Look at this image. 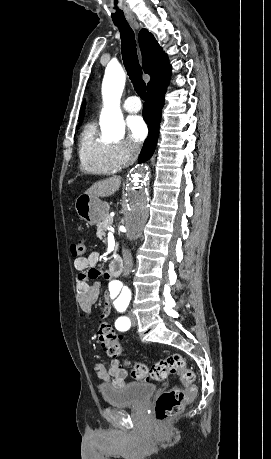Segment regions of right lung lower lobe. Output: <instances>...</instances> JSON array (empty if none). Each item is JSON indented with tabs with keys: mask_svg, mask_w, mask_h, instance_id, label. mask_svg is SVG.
Returning a JSON list of instances; mask_svg holds the SVG:
<instances>
[{
	"mask_svg": "<svg viewBox=\"0 0 271 459\" xmlns=\"http://www.w3.org/2000/svg\"><path fill=\"white\" fill-rule=\"evenodd\" d=\"M169 76L170 73L147 88V101L144 104L143 116L149 126V135L139 155V163L149 160L155 151L161 113L164 105V95L169 83Z\"/></svg>",
	"mask_w": 271,
	"mask_h": 459,
	"instance_id": "1",
	"label": "right lung lower lobe"
}]
</instances>
